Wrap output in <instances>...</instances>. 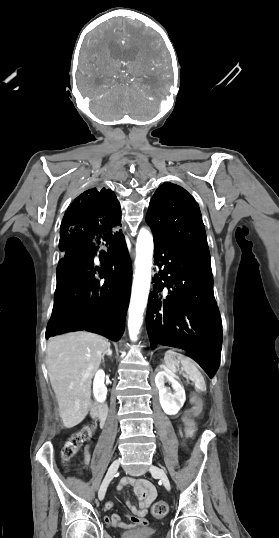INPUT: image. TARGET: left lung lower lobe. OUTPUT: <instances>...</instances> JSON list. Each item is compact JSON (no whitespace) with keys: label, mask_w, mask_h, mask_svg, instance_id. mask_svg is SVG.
I'll return each mask as SVG.
<instances>
[{"label":"left lung lower lobe","mask_w":279,"mask_h":538,"mask_svg":"<svg viewBox=\"0 0 279 538\" xmlns=\"http://www.w3.org/2000/svg\"><path fill=\"white\" fill-rule=\"evenodd\" d=\"M154 261L160 270L152 281L146 317L151 349L157 345L184 349L212 378L220 365L222 324L210 253L155 242Z\"/></svg>","instance_id":"1"}]
</instances>
